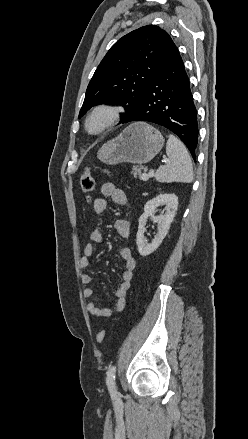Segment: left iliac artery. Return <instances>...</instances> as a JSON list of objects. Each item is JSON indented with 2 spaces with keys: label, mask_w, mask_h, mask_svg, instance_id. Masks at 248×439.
<instances>
[{
  "label": "left iliac artery",
  "mask_w": 248,
  "mask_h": 439,
  "mask_svg": "<svg viewBox=\"0 0 248 439\" xmlns=\"http://www.w3.org/2000/svg\"><path fill=\"white\" fill-rule=\"evenodd\" d=\"M115 373H116V366L113 365L109 368L106 378L108 389L112 395L116 394Z\"/></svg>",
  "instance_id": "44dca946"
}]
</instances>
